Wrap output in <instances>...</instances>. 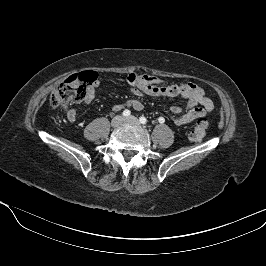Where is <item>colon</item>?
Returning a JSON list of instances; mask_svg holds the SVG:
<instances>
[{
  "label": "colon",
  "instance_id": "1",
  "mask_svg": "<svg viewBox=\"0 0 266 266\" xmlns=\"http://www.w3.org/2000/svg\"><path fill=\"white\" fill-rule=\"evenodd\" d=\"M97 80L93 71L71 75L65 79L51 94L50 103L54 107H66L85 100L87 89ZM208 123L200 119L191 130L189 137L193 142H200L207 130Z\"/></svg>",
  "mask_w": 266,
  "mask_h": 266
}]
</instances>
